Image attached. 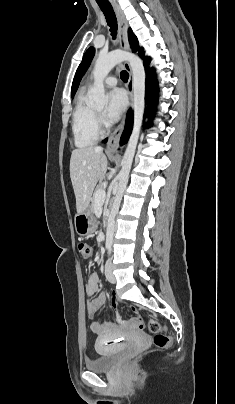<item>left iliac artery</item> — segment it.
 Returning a JSON list of instances; mask_svg holds the SVG:
<instances>
[{"mask_svg":"<svg viewBox=\"0 0 235 404\" xmlns=\"http://www.w3.org/2000/svg\"><path fill=\"white\" fill-rule=\"evenodd\" d=\"M109 254L111 253V249L108 250Z\"/></svg>","mask_w":235,"mask_h":404,"instance_id":"obj_1","label":"left iliac artery"}]
</instances>
